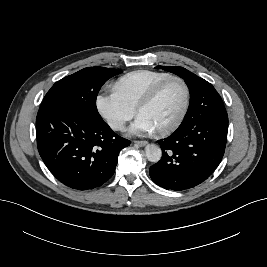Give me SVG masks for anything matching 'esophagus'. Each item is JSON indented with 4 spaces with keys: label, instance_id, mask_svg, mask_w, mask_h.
Wrapping results in <instances>:
<instances>
[{
    "label": "esophagus",
    "instance_id": "esophagus-1",
    "mask_svg": "<svg viewBox=\"0 0 267 267\" xmlns=\"http://www.w3.org/2000/svg\"><path fill=\"white\" fill-rule=\"evenodd\" d=\"M135 145L143 147L147 144V141H134Z\"/></svg>",
    "mask_w": 267,
    "mask_h": 267
}]
</instances>
